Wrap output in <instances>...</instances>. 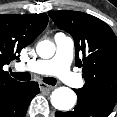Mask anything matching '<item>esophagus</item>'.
Instances as JSON below:
<instances>
[{
	"mask_svg": "<svg viewBox=\"0 0 117 117\" xmlns=\"http://www.w3.org/2000/svg\"><path fill=\"white\" fill-rule=\"evenodd\" d=\"M39 87H40L41 91H50V90H52L54 88L53 86L47 85V84H45L43 82L39 83Z\"/></svg>",
	"mask_w": 117,
	"mask_h": 117,
	"instance_id": "obj_1",
	"label": "esophagus"
}]
</instances>
